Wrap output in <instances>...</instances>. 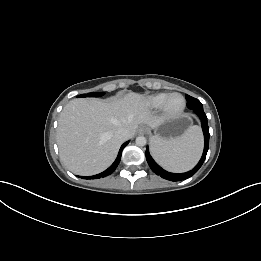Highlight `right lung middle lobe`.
Here are the masks:
<instances>
[{"label": "right lung middle lobe", "mask_w": 261, "mask_h": 261, "mask_svg": "<svg viewBox=\"0 0 261 261\" xmlns=\"http://www.w3.org/2000/svg\"><path fill=\"white\" fill-rule=\"evenodd\" d=\"M103 95V93H88L87 95L86 94H83V95H80V97H98V96H101Z\"/></svg>", "instance_id": "dd1d6c3e"}]
</instances>
